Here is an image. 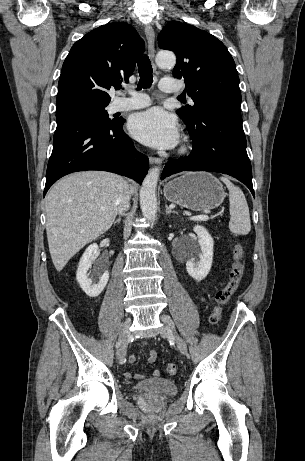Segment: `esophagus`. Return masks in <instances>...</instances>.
<instances>
[{
    "label": "esophagus",
    "instance_id": "obj_1",
    "mask_svg": "<svg viewBox=\"0 0 305 461\" xmlns=\"http://www.w3.org/2000/svg\"><path fill=\"white\" fill-rule=\"evenodd\" d=\"M145 36L148 45V52L151 59H154L155 56V33L151 25H146L145 27ZM150 164L152 165H160L162 163V159L158 157H150L149 158Z\"/></svg>",
    "mask_w": 305,
    "mask_h": 461
}]
</instances>
